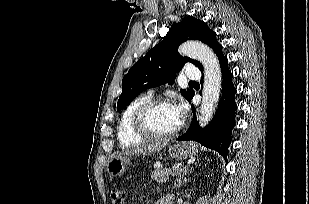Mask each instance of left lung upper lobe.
Returning <instances> with one entry per match:
<instances>
[{
	"mask_svg": "<svg viewBox=\"0 0 309 204\" xmlns=\"http://www.w3.org/2000/svg\"><path fill=\"white\" fill-rule=\"evenodd\" d=\"M200 40L211 47L217 54L221 45L216 40V33L207 24L194 17H185L180 23L173 24L163 41L152 48L137 61L122 80V93L117 103V110L124 109L137 95L148 88L165 83L173 84L176 72L186 63H193L200 70L202 64L177 53L178 46L186 40ZM182 96L191 100L194 91L180 90Z\"/></svg>",
	"mask_w": 309,
	"mask_h": 204,
	"instance_id": "1",
	"label": "left lung upper lobe"
}]
</instances>
